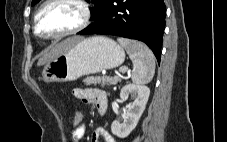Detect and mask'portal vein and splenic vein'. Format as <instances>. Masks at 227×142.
Returning a JSON list of instances; mask_svg holds the SVG:
<instances>
[{
  "label": "portal vein and splenic vein",
  "mask_w": 227,
  "mask_h": 142,
  "mask_svg": "<svg viewBox=\"0 0 227 142\" xmlns=\"http://www.w3.org/2000/svg\"><path fill=\"white\" fill-rule=\"evenodd\" d=\"M127 70H128V69L125 67V68H123V69L121 70V72H122V73H125ZM117 74H119V73L117 72Z\"/></svg>",
  "instance_id": "portal-vein-and-splenic-vein-1"
}]
</instances>
